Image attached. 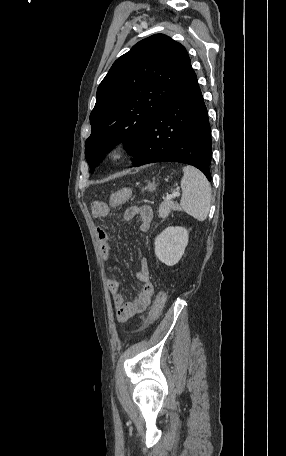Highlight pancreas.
Listing matches in <instances>:
<instances>
[{
    "instance_id": "obj_1",
    "label": "pancreas",
    "mask_w": 286,
    "mask_h": 456,
    "mask_svg": "<svg viewBox=\"0 0 286 456\" xmlns=\"http://www.w3.org/2000/svg\"><path fill=\"white\" fill-rule=\"evenodd\" d=\"M171 210L180 211L181 208L178 203H175L171 200L163 201L159 206V217L162 219L167 218Z\"/></svg>"
}]
</instances>
